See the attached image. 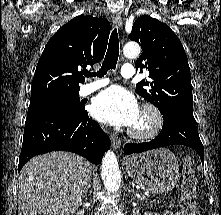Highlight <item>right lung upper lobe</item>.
<instances>
[{"instance_id":"right-lung-upper-lobe-1","label":"right lung upper lobe","mask_w":221,"mask_h":215,"mask_svg":"<svg viewBox=\"0 0 221 215\" xmlns=\"http://www.w3.org/2000/svg\"><path fill=\"white\" fill-rule=\"evenodd\" d=\"M110 23L104 18L80 15L50 38L38 61L31 101L56 94L79 93L82 70L104 57Z\"/></svg>"}]
</instances>
